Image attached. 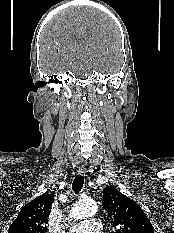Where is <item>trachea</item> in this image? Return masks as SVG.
<instances>
[{"label": "trachea", "instance_id": "trachea-1", "mask_svg": "<svg viewBox=\"0 0 174 233\" xmlns=\"http://www.w3.org/2000/svg\"><path fill=\"white\" fill-rule=\"evenodd\" d=\"M84 184V177L76 176L72 183V190L77 194L81 191Z\"/></svg>", "mask_w": 174, "mask_h": 233}]
</instances>
